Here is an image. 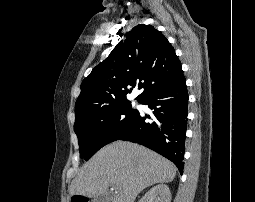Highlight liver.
Instances as JSON below:
<instances>
[{"mask_svg":"<svg viewBox=\"0 0 255 202\" xmlns=\"http://www.w3.org/2000/svg\"><path fill=\"white\" fill-rule=\"evenodd\" d=\"M176 167L161 155L134 143L115 141L100 149L73 179L69 193L96 198L112 185V202H134L146 187L171 182Z\"/></svg>","mask_w":255,"mask_h":202,"instance_id":"liver-1","label":"liver"}]
</instances>
